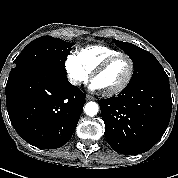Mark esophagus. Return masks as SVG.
Wrapping results in <instances>:
<instances>
[{
	"label": "esophagus",
	"mask_w": 178,
	"mask_h": 178,
	"mask_svg": "<svg viewBox=\"0 0 178 178\" xmlns=\"http://www.w3.org/2000/svg\"><path fill=\"white\" fill-rule=\"evenodd\" d=\"M86 100L89 101V100H95V98L91 95H87L86 96Z\"/></svg>",
	"instance_id": "34e87169"
}]
</instances>
